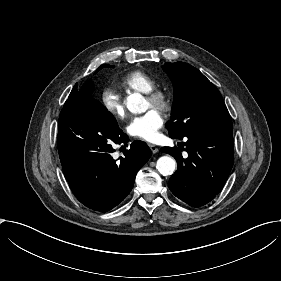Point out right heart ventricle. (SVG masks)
<instances>
[{
    "mask_svg": "<svg viewBox=\"0 0 281 281\" xmlns=\"http://www.w3.org/2000/svg\"><path fill=\"white\" fill-rule=\"evenodd\" d=\"M120 89L125 92L150 94L156 89L155 80L142 69H135L126 74L119 82Z\"/></svg>",
    "mask_w": 281,
    "mask_h": 281,
    "instance_id": "right-heart-ventricle-1",
    "label": "right heart ventricle"
}]
</instances>
